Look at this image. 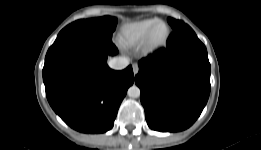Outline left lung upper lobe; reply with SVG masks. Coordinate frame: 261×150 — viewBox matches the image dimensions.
<instances>
[{"mask_svg":"<svg viewBox=\"0 0 261 150\" xmlns=\"http://www.w3.org/2000/svg\"><path fill=\"white\" fill-rule=\"evenodd\" d=\"M168 22L171 25V27L173 28V30L180 28L183 25H185V23L183 21L176 20V19H173V18H168Z\"/></svg>","mask_w":261,"mask_h":150,"instance_id":"obj_1","label":"left lung upper lobe"}]
</instances>
